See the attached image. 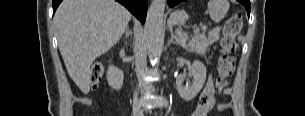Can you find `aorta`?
Masks as SVG:
<instances>
[{
    "instance_id": "1",
    "label": "aorta",
    "mask_w": 305,
    "mask_h": 116,
    "mask_svg": "<svg viewBox=\"0 0 305 116\" xmlns=\"http://www.w3.org/2000/svg\"><path fill=\"white\" fill-rule=\"evenodd\" d=\"M165 5V0H153L147 12L144 38L152 65L158 62L161 54Z\"/></svg>"
}]
</instances>
